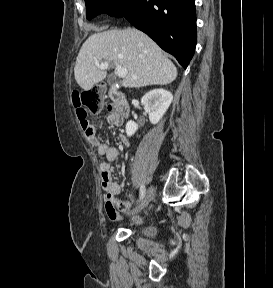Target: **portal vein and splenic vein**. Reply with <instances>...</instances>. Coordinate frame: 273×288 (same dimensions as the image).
Masks as SVG:
<instances>
[{
    "label": "portal vein and splenic vein",
    "mask_w": 273,
    "mask_h": 288,
    "mask_svg": "<svg viewBox=\"0 0 273 288\" xmlns=\"http://www.w3.org/2000/svg\"><path fill=\"white\" fill-rule=\"evenodd\" d=\"M109 64H110L109 61H103L101 63L96 62V66L101 70L107 69ZM116 67H117V76L119 78H125L127 75V70L125 68L121 67L119 64H116Z\"/></svg>",
    "instance_id": "obj_1"
}]
</instances>
